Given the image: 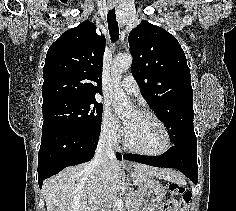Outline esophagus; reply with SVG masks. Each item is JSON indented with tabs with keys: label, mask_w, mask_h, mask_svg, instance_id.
<instances>
[{
	"label": "esophagus",
	"mask_w": 236,
	"mask_h": 211,
	"mask_svg": "<svg viewBox=\"0 0 236 211\" xmlns=\"http://www.w3.org/2000/svg\"><path fill=\"white\" fill-rule=\"evenodd\" d=\"M124 165H125V166H128L129 164L125 163Z\"/></svg>",
	"instance_id": "1"
}]
</instances>
